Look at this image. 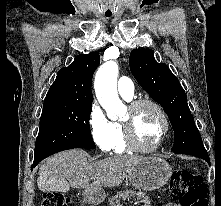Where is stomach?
<instances>
[{"label": "stomach", "mask_w": 221, "mask_h": 206, "mask_svg": "<svg viewBox=\"0 0 221 206\" xmlns=\"http://www.w3.org/2000/svg\"><path fill=\"white\" fill-rule=\"evenodd\" d=\"M172 168L159 157H146L137 163L127 176L136 189L154 191L161 188L171 177ZM105 199V192L100 187H91L84 192V201L93 205Z\"/></svg>", "instance_id": "obj_1"}]
</instances>
